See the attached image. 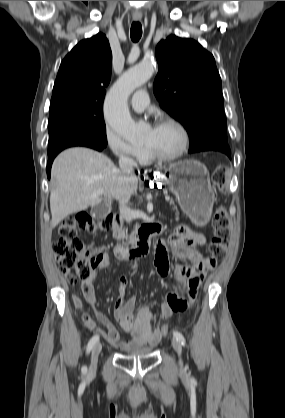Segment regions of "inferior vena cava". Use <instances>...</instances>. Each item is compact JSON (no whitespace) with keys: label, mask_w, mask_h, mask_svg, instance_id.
Masks as SVG:
<instances>
[{"label":"inferior vena cava","mask_w":285,"mask_h":418,"mask_svg":"<svg viewBox=\"0 0 285 418\" xmlns=\"http://www.w3.org/2000/svg\"><path fill=\"white\" fill-rule=\"evenodd\" d=\"M119 166L121 171L129 177L134 176V168L137 166V163L130 157L126 155H121L119 159ZM130 199V195L126 194L124 197L119 199V210L120 215L124 218L128 223L132 221V213L131 210L126 206Z\"/></svg>","instance_id":"1"}]
</instances>
